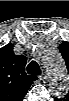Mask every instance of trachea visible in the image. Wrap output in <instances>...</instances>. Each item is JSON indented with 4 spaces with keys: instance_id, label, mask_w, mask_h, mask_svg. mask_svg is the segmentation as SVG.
<instances>
[{
    "instance_id": "obj_1",
    "label": "trachea",
    "mask_w": 69,
    "mask_h": 101,
    "mask_svg": "<svg viewBox=\"0 0 69 101\" xmlns=\"http://www.w3.org/2000/svg\"><path fill=\"white\" fill-rule=\"evenodd\" d=\"M27 72H28V74L40 75L41 69L37 62L32 61L27 66Z\"/></svg>"
}]
</instances>
